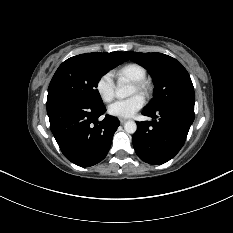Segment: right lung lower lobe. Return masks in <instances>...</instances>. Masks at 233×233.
<instances>
[{"label":"right lung lower lobe","mask_w":233,"mask_h":233,"mask_svg":"<svg viewBox=\"0 0 233 233\" xmlns=\"http://www.w3.org/2000/svg\"><path fill=\"white\" fill-rule=\"evenodd\" d=\"M105 106L92 107L71 99L47 101L50 129L64 156L72 163L89 167L102 161L119 126L117 118L106 115Z\"/></svg>","instance_id":"obj_1"}]
</instances>
